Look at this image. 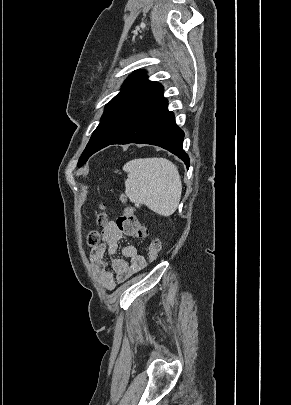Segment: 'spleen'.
Returning a JSON list of instances; mask_svg holds the SVG:
<instances>
[{
  "instance_id": "obj_1",
  "label": "spleen",
  "mask_w": 291,
  "mask_h": 405,
  "mask_svg": "<svg viewBox=\"0 0 291 405\" xmlns=\"http://www.w3.org/2000/svg\"><path fill=\"white\" fill-rule=\"evenodd\" d=\"M125 193L135 205L144 204L161 216L172 215L179 204L182 182L177 167L166 158H139L127 162Z\"/></svg>"
}]
</instances>
